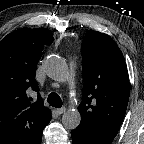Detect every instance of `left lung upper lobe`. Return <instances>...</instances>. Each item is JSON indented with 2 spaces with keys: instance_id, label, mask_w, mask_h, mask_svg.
I'll list each match as a JSON object with an SVG mask.
<instances>
[{
  "instance_id": "5c2ea615",
  "label": "left lung upper lobe",
  "mask_w": 144,
  "mask_h": 144,
  "mask_svg": "<svg viewBox=\"0 0 144 144\" xmlns=\"http://www.w3.org/2000/svg\"><path fill=\"white\" fill-rule=\"evenodd\" d=\"M81 50L84 86L77 128L92 138L113 141L130 93L124 57L110 36L92 30L86 33Z\"/></svg>"
}]
</instances>
